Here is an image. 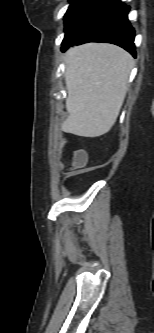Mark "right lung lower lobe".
Segmentation results:
<instances>
[{
	"label": "right lung lower lobe",
	"mask_w": 154,
	"mask_h": 333,
	"mask_svg": "<svg viewBox=\"0 0 154 333\" xmlns=\"http://www.w3.org/2000/svg\"><path fill=\"white\" fill-rule=\"evenodd\" d=\"M128 11L129 6L120 0H102L78 29L64 38L62 50L87 42H106L116 44L136 56L133 43L135 34L127 18Z\"/></svg>",
	"instance_id": "right-lung-lower-lobe-1"
}]
</instances>
